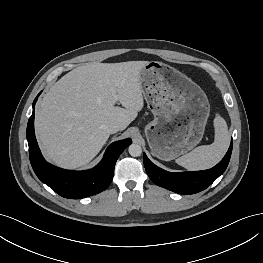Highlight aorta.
Segmentation results:
<instances>
[{
	"mask_svg": "<svg viewBox=\"0 0 263 263\" xmlns=\"http://www.w3.org/2000/svg\"><path fill=\"white\" fill-rule=\"evenodd\" d=\"M128 152L132 157H138L142 153V148L139 144H131L128 148Z\"/></svg>",
	"mask_w": 263,
	"mask_h": 263,
	"instance_id": "obj_1",
	"label": "aorta"
}]
</instances>
